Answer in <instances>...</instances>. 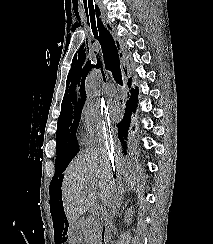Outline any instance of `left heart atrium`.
Returning a JSON list of instances; mask_svg holds the SVG:
<instances>
[{
    "label": "left heart atrium",
    "instance_id": "39dd6f15",
    "mask_svg": "<svg viewBox=\"0 0 213 244\" xmlns=\"http://www.w3.org/2000/svg\"><path fill=\"white\" fill-rule=\"evenodd\" d=\"M107 113L108 117L112 121H117L122 114L120 104L116 100H109L107 103Z\"/></svg>",
    "mask_w": 213,
    "mask_h": 244
}]
</instances>
